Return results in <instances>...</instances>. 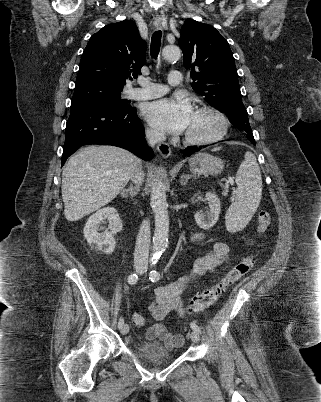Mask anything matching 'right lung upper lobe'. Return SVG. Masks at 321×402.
<instances>
[{
	"label": "right lung upper lobe",
	"mask_w": 321,
	"mask_h": 402,
	"mask_svg": "<svg viewBox=\"0 0 321 402\" xmlns=\"http://www.w3.org/2000/svg\"><path fill=\"white\" fill-rule=\"evenodd\" d=\"M146 49L133 21L109 24L90 38L75 84L100 83L123 89L130 75L141 74Z\"/></svg>",
	"instance_id": "obj_1"
}]
</instances>
